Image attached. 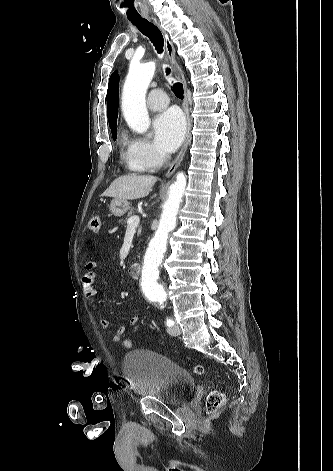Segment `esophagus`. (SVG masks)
Instances as JSON below:
<instances>
[{
    "label": "esophagus",
    "mask_w": 333,
    "mask_h": 471,
    "mask_svg": "<svg viewBox=\"0 0 333 471\" xmlns=\"http://www.w3.org/2000/svg\"><path fill=\"white\" fill-rule=\"evenodd\" d=\"M154 24L157 26V28L161 31L163 38H164V45L166 49V53L168 56V59L170 60L171 66L173 68L174 74L177 77V79L183 84L184 86V110L186 114V119H187V128H186V138L183 143V146L181 147V150L179 151L178 155L176 156L175 160L169 167L168 171L166 172V176H171L177 167L180 165L181 161L183 160V157L186 153V149L189 143V138H190V127H191V120L189 116V110H188V99H187V85H186V80L184 77V74L179 67V65L176 62L175 59V48L173 43L170 40V37L168 33L163 29V27L160 25L158 20L156 18H152Z\"/></svg>",
    "instance_id": "34e87169"
}]
</instances>
